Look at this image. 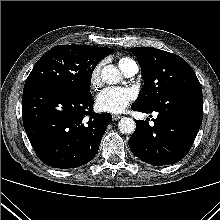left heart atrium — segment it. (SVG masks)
Listing matches in <instances>:
<instances>
[{
    "label": "left heart atrium",
    "mask_w": 220,
    "mask_h": 220,
    "mask_svg": "<svg viewBox=\"0 0 220 220\" xmlns=\"http://www.w3.org/2000/svg\"><path fill=\"white\" fill-rule=\"evenodd\" d=\"M136 93L131 88L108 87L96 98V107L102 112L120 113L133 101Z\"/></svg>",
    "instance_id": "39dd6f15"
}]
</instances>
